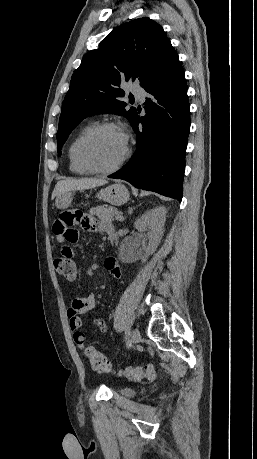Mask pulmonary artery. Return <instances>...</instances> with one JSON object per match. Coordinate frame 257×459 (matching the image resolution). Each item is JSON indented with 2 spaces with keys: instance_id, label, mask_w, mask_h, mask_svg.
<instances>
[{
  "instance_id": "obj_1",
  "label": "pulmonary artery",
  "mask_w": 257,
  "mask_h": 459,
  "mask_svg": "<svg viewBox=\"0 0 257 459\" xmlns=\"http://www.w3.org/2000/svg\"><path fill=\"white\" fill-rule=\"evenodd\" d=\"M133 93L136 96V98L140 101L143 100L145 97V91L141 88H134Z\"/></svg>"
}]
</instances>
